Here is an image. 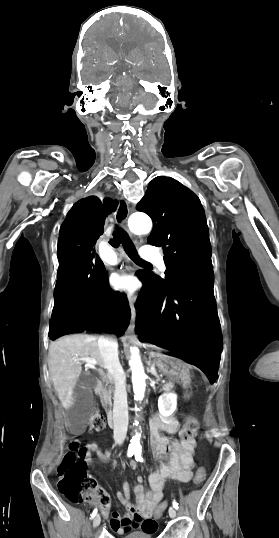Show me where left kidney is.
Returning a JSON list of instances; mask_svg holds the SVG:
<instances>
[{"instance_id":"obj_1","label":"left kidney","mask_w":279,"mask_h":538,"mask_svg":"<svg viewBox=\"0 0 279 538\" xmlns=\"http://www.w3.org/2000/svg\"><path fill=\"white\" fill-rule=\"evenodd\" d=\"M158 408L161 416H171L177 410V396L170 394H162L158 400Z\"/></svg>"}]
</instances>
